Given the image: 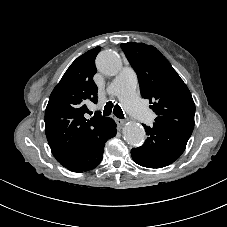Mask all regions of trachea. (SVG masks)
Segmentation results:
<instances>
[{"label": "trachea", "mask_w": 227, "mask_h": 227, "mask_svg": "<svg viewBox=\"0 0 227 227\" xmlns=\"http://www.w3.org/2000/svg\"><path fill=\"white\" fill-rule=\"evenodd\" d=\"M112 112L114 113V115L116 117H118L120 119L124 118V114H123L121 107L118 104L114 105L110 101L104 106L103 116H109Z\"/></svg>", "instance_id": "trachea-1"}]
</instances>
